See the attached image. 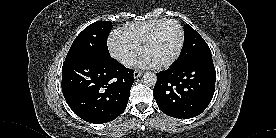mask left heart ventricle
<instances>
[{
    "label": "left heart ventricle",
    "instance_id": "b2bd125f",
    "mask_svg": "<svg viewBox=\"0 0 276 138\" xmlns=\"http://www.w3.org/2000/svg\"><path fill=\"white\" fill-rule=\"evenodd\" d=\"M180 43V31L176 24L165 23L158 30L152 44L146 50L144 56L155 65L169 61L177 51Z\"/></svg>",
    "mask_w": 276,
    "mask_h": 138
}]
</instances>
